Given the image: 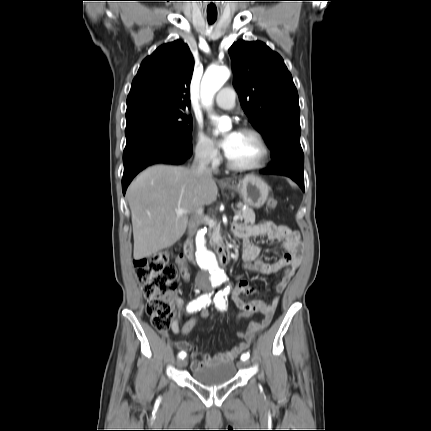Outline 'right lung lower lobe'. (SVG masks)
<instances>
[{"label": "right lung lower lobe", "mask_w": 431, "mask_h": 431, "mask_svg": "<svg viewBox=\"0 0 431 431\" xmlns=\"http://www.w3.org/2000/svg\"><path fill=\"white\" fill-rule=\"evenodd\" d=\"M192 155V143L162 133H146L127 140L123 152L122 191L146 167L156 163L182 164Z\"/></svg>", "instance_id": "right-lung-lower-lobe-1"}]
</instances>
